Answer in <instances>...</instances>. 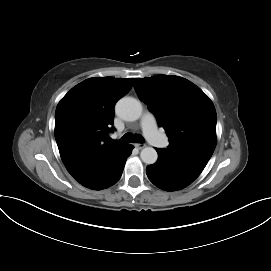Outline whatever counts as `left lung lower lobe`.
I'll return each instance as SVG.
<instances>
[{"label": "left lung lower lobe", "instance_id": "0a47b994", "mask_svg": "<svg viewBox=\"0 0 271 271\" xmlns=\"http://www.w3.org/2000/svg\"><path fill=\"white\" fill-rule=\"evenodd\" d=\"M158 160L147 166L149 180L166 191H176L191 184L203 171L207 162L204 159L167 149H158Z\"/></svg>", "mask_w": 271, "mask_h": 271}]
</instances>
